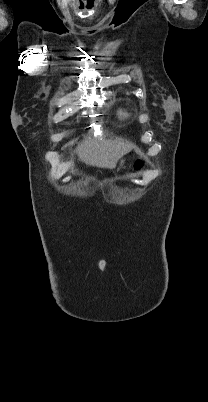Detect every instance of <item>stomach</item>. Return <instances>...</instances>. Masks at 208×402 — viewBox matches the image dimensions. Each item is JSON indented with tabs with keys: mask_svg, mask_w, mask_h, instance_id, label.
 Here are the masks:
<instances>
[{
	"mask_svg": "<svg viewBox=\"0 0 208 402\" xmlns=\"http://www.w3.org/2000/svg\"><path fill=\"white\" fill-rule=\"evenodd\" d=\"M124 162H125V160H123V158H122V160H120V166H122V164H124Z\"/></svg>",
	"mask_w": 208,
	"mask_h": 402,
	"instance_id": "stomach-1",
	"label": "stomach"
}]
</instances>
